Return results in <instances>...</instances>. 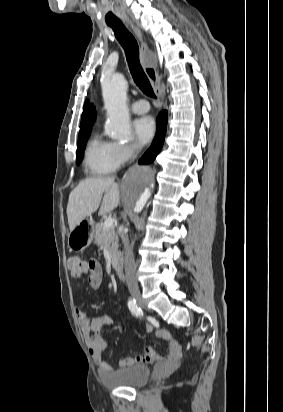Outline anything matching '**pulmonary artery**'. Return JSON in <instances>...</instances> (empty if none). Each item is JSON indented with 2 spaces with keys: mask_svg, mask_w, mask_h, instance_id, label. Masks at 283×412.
I'll list each match as a JSON object with an SVG mask.
<instances>
[{
  "mask_svg": "<svg viewBox=\"0 0 283 412\" xmlns=\"http://www.w3.org/2000/svg\"><path fill=\"white\" fill-rule=\"evenodd\" d=\"M131 110L135 114H144V113L148 112L149 104L146 100L140 99V100L135 101L132 104Z\"/></svg>",
  "mask_w": 283,
  "mask_h": 412,
  "instance_id": "1",
  "label": "pulmonary artery"
}]
</instances>
